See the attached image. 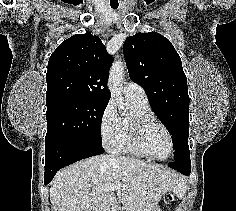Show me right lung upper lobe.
I'll return each instance as SVG.
<instances>
[{"label":"right lung upper lobe","instance_id":"1","mask_svg":"<svg viewBox=\"0 0 236 211\" xmlns=\"http://www.w3.org/2000/svg\"><path fill=\"white\" fill-rule=\"evenodd\" d=\"M112 58L97 36L76 34L52 53L46 74V105L86 100L108 102L107 88Z\"/></svg>","mask_w":236,"mask_h":211}]
</instances>
